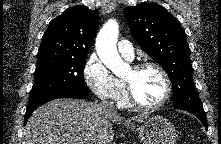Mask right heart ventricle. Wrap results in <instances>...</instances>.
<instances>
[{"label":"right heart ventricle","instance_id":"1","mask_svg":"<svg viewBox=\"0 0 221 144\" xmlns=\"http://www.w3.org/2000/svg\"><path fill=\"white\" fill-rule=\"evenodd\" d=\"M121 83L123 85V91H122L120 97L118 98V103L121 107H129L130 103L128 102V99H127V96H126L125 84L122 81H121Z\"/></svg>","mask_w":221,"mask_h":144}]
</instances>
